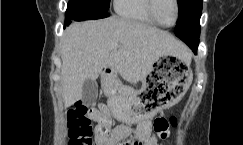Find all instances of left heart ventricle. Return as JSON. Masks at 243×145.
Listing matches in <instances>:
<instances>
[{"instance_id": "obj_1", "label": "left heart ventricle", "mask_w": 243, "mask_h": 145, "mask_svg": "<svg viewBox=\"0 0 243 145\" xmlns=\"http://www.w3.org/2000/svg\"><path fill=\"white\" fill-rule=\"evenodd\" d=\"M155 12L160 22L166 25L172 24L175 18L173 0H156Z\"/></svg>"}]
</instances>
